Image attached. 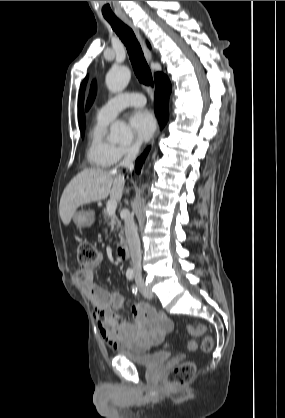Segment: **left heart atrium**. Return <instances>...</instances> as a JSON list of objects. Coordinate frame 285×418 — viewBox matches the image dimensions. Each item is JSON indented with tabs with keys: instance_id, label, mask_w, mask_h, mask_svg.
<instances>
[{
	"instance_id": "39dd6f15",
	"label": "left heart atrium",
	"mask_w": 285,
	"mask_h": 418,
	"mask_svg": "<svg viewBox=\"0 0 285 418\" xmlns=\"http://www.w3.org/2000/svg\"><path fill=\"white\" fill-rule=\"evenodd\" d=\"M129 123L136 136L141 141H148L157 128L156 119L153 113L147 109L135 110L130 115Z\"/></svg>"
}]
</instances>
